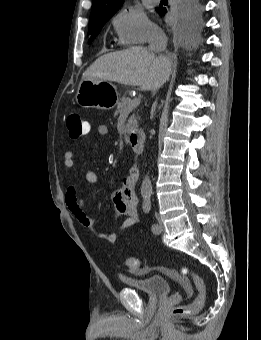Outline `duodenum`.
Instances as JSON below:
<instances>
[{"mask_svg": "<svg viewBox=\"0 0 261 340\" xmlns=\"http://www.w3.org/2000/svg\"><path fill=\"white\" fill-rule=\"evenodd\" d=\"M145 136L142 131H135L129 135V144L135 154H141L144 149Z\"/></svg>", "mask_w": 261, "mask_h": 340, "instance_id": "1", "label": "duodenum"}]
</instances>
